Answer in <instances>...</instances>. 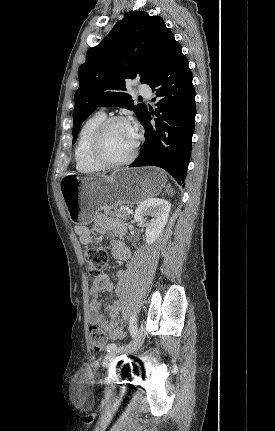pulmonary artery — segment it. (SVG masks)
Wrapping results in <instances>:
<instances>
[{
	"label": "pulmonary artery",
	"mask_w": 275,
	"mask_h": 431,
	"mask_svg": "<svg viewBox=\"0 0 275 431\" xmlns=\"http://www.w3.org/2000/svg\"><path fill=\"white\" fill-rule=\"evenodd\" d=\"M139 92L142 94V95H145V96H147V97H150L151 96V90H150V88L148 87V86H146V85H141V86H139Z\"/></svg>",
	"instance_id": "obj_1"
}]
</instances>
